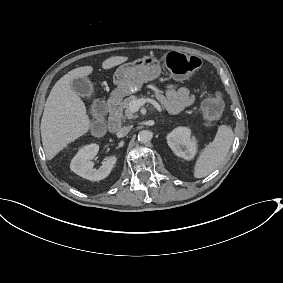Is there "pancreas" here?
Wrapping results in <instances>:
<instances>
[{
  "instance_id": "obj_1",
  "label": "pancreas",
  "mask_w": 283,
  "mask_h": 283,
  "mask_svg": "<svg viewBox=\"0 0 283 283\" xmlns=\"http://www.w3.org/2000/svg\"><path fill=\"white\" fill-rule=\"evenodd\" d=\"M138 96L136 95H131L128 98L124 99L123 101H121V103L118 106V110H116L115 106H109V113L113 114V113H118V116L121 118H129L132 119L134 116L133 114L129 111V104L131 101L133 100H137Z\"/></svg>"
}]
</instances>
